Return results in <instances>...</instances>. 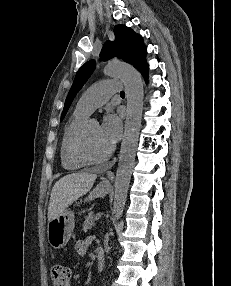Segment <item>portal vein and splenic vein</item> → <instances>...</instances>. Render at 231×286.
Listing matches in <instances>:
<instances>
[{"instance_id": "portal-vein-and-splenic-vein-1", "label": "portal vein and splenic vein", "mask_w": 231, "mask_h": 286, "mask_svg": "<svg viewBox=\"0 0 231 286\" xmlns=\"http://www.w3.org/2000/svg\"><path fill=\"white\" fill-rule=\"evenodd\" d=\"M101 216H102V213H101V212H99V213H97V214H96L95 219H96V220H98V219H100V218H101Z\"/></svg>"}]
</instances>
